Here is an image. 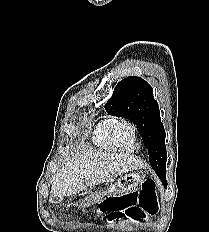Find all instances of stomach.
<instances>
[{"label": "stomach", "mask_w": 209, "mask_h": 232, "mask_svg": "<svg viewBox=\"0 0 209 232\" xmlns=\"http://www.w3.org/2000/svg\"><path fill=\"white\" fill-rule=\"evenodd\" d=\"M144 176L140 173H133L126 176H120L115 187H109V190L114 191H106V196H117L118 194L135 191L137 187L142 183ZM104 201V198H85V203H100Z\"/></svg>", "instance_id": "1"}]
</instances>
